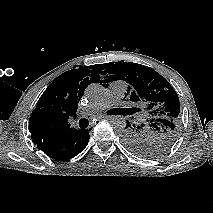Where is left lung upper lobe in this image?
<instances>
[{
	"mask_svg": "<svg viewBox=\"0 0 213 213\" xmlns=\"http://www.w3.org/2000/svg\"><path fill=\"white\" fill-rule=\"evenodd\" d=\"M99 73L107 74L103 82L124 80L131 86L130 100L141 112L140 122L125 127L124 145L142 157H156L166 152L176 142L180 133V103L176 91L155 70L133 62H111L97 66Z\"/></svg>",
	"mask_w": 213,
	"mask_h": 213,
	"instance_id": "left-lung-upper-lobe-1",
	"label": "left lung upper lobe"
}]
</instances>
